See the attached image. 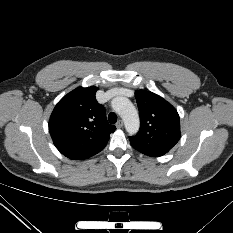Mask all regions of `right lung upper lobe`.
<instances>
[{"instance_id":"obj_1","label":"right lung upper lobe","mask_w":233,"mask_h":233,"mask_svg":"<svg viewBox=\"0 0 233 233\" xmlns=\"http://www.w3.org/2000/svg\"><path fill=\"white\" fill-rule=\"evenodd\" d=\"M97 87H79L55 106L49 132L54 145L72 160L87 159L104 149L116 127L106 119L105 108L95 98Z\"/></svg>"}]
</instances>
